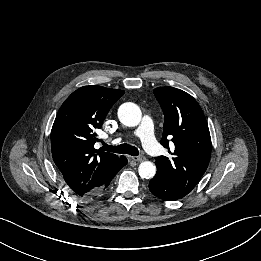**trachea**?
Instances as JSON below:
<instances>
[{"label":"trachea","instance_id":"trachea-1","mask_svg":"<svg viewBox=\"0 0 261 261\" xmlns=\"http://www.w3.org/2000/svg\"><path fill=\"white\" fill-rule=\"evenodd\" d=\"M102 149L108 152L120 153V154H129L131 156H138L139 151L135 146L129 144H121L118 146H111L107 144H103Z\"/></svg>","mask_w":261,"mask_h":261}]
</instances>
